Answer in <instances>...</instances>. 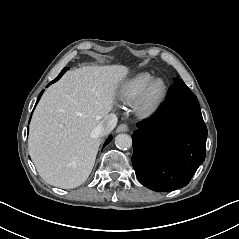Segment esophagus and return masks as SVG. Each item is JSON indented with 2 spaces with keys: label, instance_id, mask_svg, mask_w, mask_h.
I'll return each mask as SVG.
<instances>
[{
  "label": "esophagus",
  "instance_id": "1",
  "mask_svg": "<svg viewBox=\"0 0 239 239\" xmlns=\"http://www.w3.org/2000/svg\"><path fill=\"white\" fill-rule=\"evenodd\" d=\"M128 131V125L126 124H120L117 129H116V132L119 133V132H127Z\"/></svg>",
  "mask_w": 239,
  "mask_h": 239
}]
</instances>
